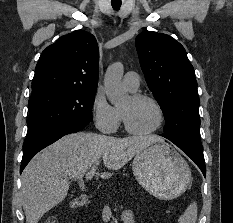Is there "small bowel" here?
Masks as SVG:
<instances>
[{"label":"small bowel","instance_id":"small-bowel-1","mask_svg":"<svg viewBox=\"0 0 233 223\" xmlns=\"http://www.w3.org/2000/svg\"><path fill=\"white\" fill-rule=\"evenodd\" d=\"M122 223H135V217L130 209H125L122 212Z\"/></svg>","mask_w":233,"mask_h":223}]
</instances>
